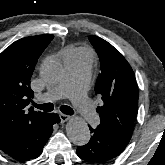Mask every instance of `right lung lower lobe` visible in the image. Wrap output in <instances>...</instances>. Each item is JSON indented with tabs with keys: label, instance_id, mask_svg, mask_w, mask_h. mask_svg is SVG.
Wrapping results in <instances>:
<instances>
[{
	"label": "right lung lower lobe",
	"instance_id": "98d812e1",
	"mask_svg": "<svg viewBox=\"0 0 165 165\" xmlns=\"http://www.w3.org/2000/svg\"><path fill=\"white\" fill-rule=\"evenodd\" d=\"M59 122L58 114L47 113L33 124L14 132L0 143V149L16 160L35 159L41 155L53 131V124Z\"/></svg>",
	"mask_w": 165,
	"mask_h": 165
}]
</instances>
